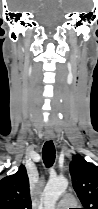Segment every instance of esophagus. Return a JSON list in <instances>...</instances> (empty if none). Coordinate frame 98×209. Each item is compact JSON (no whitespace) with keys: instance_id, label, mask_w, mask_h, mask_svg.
Wrapping results in <instances>:
<instances>
[{"instance_id":"34e87169","label":"esophagus","mask_w":98,"mask_h":209,"mask_svg":"<svg viewBox=\"0 0 98 209\" xmlns=\"http://www.w3.org/2000/svg\"><path fill=\"white\" fill-rule=\"evenodd\" d=\"M45 138H46L47 141H50L54 138V133L51 129L46 130Z\"/></svg>"}]
</instances>
